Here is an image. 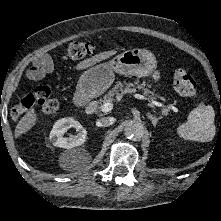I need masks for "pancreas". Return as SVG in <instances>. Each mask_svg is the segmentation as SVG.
Wrapping results in <instances>:
<instances>
[{"label":"pancreas","mask_w":221,"mask_h":221,"mask_svg":"<svg viewBox=\"0 0 221 221\" xmlns=\"http://www.w3.org/2000/svg\"><path fill=\"white\" fill-rule=\"evenodd\" d=\"M135 89L142 90L144 95H150L152 98H156V95L153 91H150L146 88L145 84H140L138 81L134 83L130 82H118L103 98L99 99L97 113L102 111V105L106 102L115 101V99H120L127 93L133 92Z\"/></svg>","instance_id":"cf45deb5"}]
</instances>
